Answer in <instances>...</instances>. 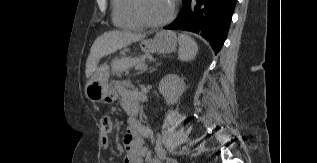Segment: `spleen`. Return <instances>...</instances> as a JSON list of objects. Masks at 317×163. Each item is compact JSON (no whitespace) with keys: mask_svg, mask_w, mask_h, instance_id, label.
Returning <instances> with one entry per match:
<instances>
[{"mask_svg":"<svg viewBox=\"0 0 317 163\" xmlns=\"http://www.w3.org/2000/svg\"><path fill=\"white\" fill-rule=\"evenodd\" d=\"M179 50L178 57L181 61H191L195 59L198 53L197 43L186 34H179Z\"/></svg>","mask_w":317,"mask_h":163,"instance_id":"1","label":"spleen"}]
</instances>
